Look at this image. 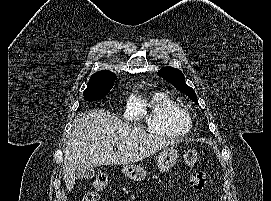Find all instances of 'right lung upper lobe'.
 Returning <instances> with one entry per match:
<instances>
[{
    "label": "right lung upper lobe",
    "instance_id": "1",
    "mask_svg": "<svg viewBox=\"0 0 271 201\" xmlns=\"http://www.w3.org/2000/svg\"><path fill=\"white\" fill-rule=\"evenodd\" d=\"M109 76H115V74L108 71V70H102V71H98L95 74H93L90 79L98 78V77H109Z\"/></svg>",
    "mask_w": 271,
    "mask_h": 201
}]
</instances>
